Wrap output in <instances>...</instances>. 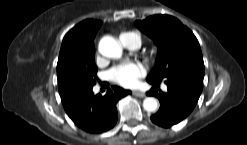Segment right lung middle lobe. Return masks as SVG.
I'll return each instance as SVG.
<instances>
[{"label": "right lung middle lobe", "mask_w": 247, "mask_h": 145, "mask_svg": "<svg viewBox=\"0 0 247 145\" xmlns=\"http://www.w3.org/2000/svg\"><path fill=\"white\" fill-rule=\"evenodd\" d=\"M94 50L75 46L62 47L57 63V78L61 97L80 88L93 87L97 80Z\"/></svg>", "instance_id": "obj_1"}]
</instances>
